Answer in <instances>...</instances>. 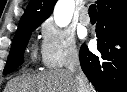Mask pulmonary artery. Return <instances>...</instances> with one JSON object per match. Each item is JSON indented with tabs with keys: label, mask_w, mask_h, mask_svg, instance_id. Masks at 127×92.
I'll use <instances>...</instances> for the list:
<instances>
[{
	"label": "pulmonary artery",
	"mask_w": 127,
	"mask_h": 92,
	"mask_svg": "<svg viewBox=\"0 0 127 92\" xmlns=\"http://www.w3.org/2000/svg\"><path fill=\"white\" fill-rule=\"evenodd\" d=\"M79 20L82 25H88L90 23V17L86 8L81 10Z\"/></svg>",
	"instance_id": "pulmonary-artery-1"
}]
</instances>
